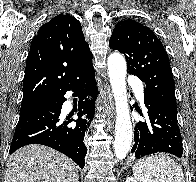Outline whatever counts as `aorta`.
Returning a JSON list of instances; mask_svg holds the SVG:
<instances>
[{"instance_id": "1", "label": "aorta", "mask_w": 196, "mask_h": 182, "mask_svg": "<svg viewBox=\"0 0 196 182\" xmlns=\"http://www.w3.org/2000/svg\"><path fill=\"white\" fill-rule=\"evenodd\" d=\"M110 84L116 104V134L114 152L118 160H122L129 152L132 142V123L126 90V61L120 53L108 57Z\"/></svg>"}]
</instances>
